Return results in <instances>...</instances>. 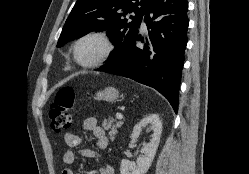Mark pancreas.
Segmentation results:
<instances>
[{
  "mask_svg": "<svg viewBox=\"0 0 249 174\" xmlns=\"http://www.w3.org/2000/svg\"><path fill=\"white\" fill-rule=\"evenodd\" d=\"M122 125V122H117L113 118L104 119L102 126L105 130H111L109 132L110 138L114 139L116 134L118 133L117 128H120Z\"/></svg>",
  "mask_w": 249,
  "mask_h": 174,
  "instance_id": "obj_1",
  "label": "pancreas"
}]
</instances>
